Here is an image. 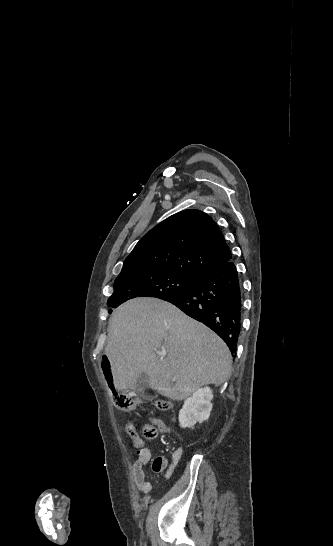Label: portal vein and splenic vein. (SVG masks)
Listing matches in <instances>:
<instances>
[{"mask_svg":"<svg viewBox=\"0 0 333 546\" xmlns=\"http://www.w3.org/2000/svg\"><path fill=\"white\" fill-rule=\"evenodd\" d=\"M161 355L164 357V356H166V353H161Z\"/></svg>","mask_w":333,"mask_h":546,"instance_id":"18ae733b","label":"portal vein and splenic vein"}]
</instances>
